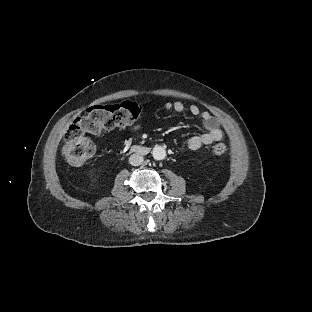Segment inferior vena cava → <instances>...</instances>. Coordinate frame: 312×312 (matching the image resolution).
Wrapping results in <instances>:
<instances>
[{
	"instance_id": "1",
	"label": "inferior vena cava",
	"mask_w": 312,
	"mask_h": 312,
	"mask_svg": "<svg viewBox=\"0 0 312 312\" xmlns=\"http://www.w3.org/2000/svg\"><path fill=\"white\" fill-rule=\"evenodd\" d=\"M129 162L133 166H139L144 162V157L140 154H132L129 158Z\"/></svg>"
}]
</instances>
